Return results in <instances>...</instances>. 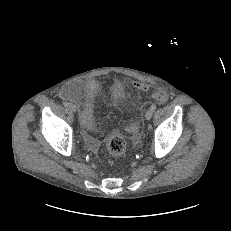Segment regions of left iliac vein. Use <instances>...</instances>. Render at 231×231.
Wrapping results in <instances>:
<instances>
[{
  "label": "left iliac vein",
  "mask_w": 231,
  "mask_h": 231,
  "mask_svg": "<svg viewBox=\"0 0 231 231\" xmlns=\"http://www.w3.org/2000/svg\"><path fill=\"white\" fill-rule=\"evenodd\" d=\"M153 111L151 109H148L145 113V119L150 120L152 118Z\"/></svg>",
  "instance_id": "left-iliac-vein-1"
}]
</instances>
